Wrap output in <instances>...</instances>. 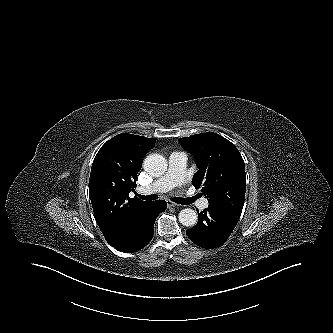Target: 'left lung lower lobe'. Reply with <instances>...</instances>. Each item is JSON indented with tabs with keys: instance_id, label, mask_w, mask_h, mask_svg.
Segmentation results:
<instances>
[{
	"instance_id": "1",
	"label": "left lung lower lobe",
	"mask_w": 333,
	"mask_h": 333,
	"mask_svg": "<svg viewBox=\"0 0 333 333\" xmlns=\"http://www.w3.org/2000/svg\"><path fill=\"white\" fill-rule=\"evenodd\" d=\"M198 215V223L186 232L193 243L203 248L221 246L228 239L240 218L210 204Z\"/></svg>"
}]
</instances>
